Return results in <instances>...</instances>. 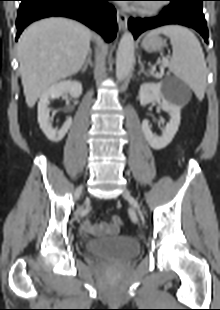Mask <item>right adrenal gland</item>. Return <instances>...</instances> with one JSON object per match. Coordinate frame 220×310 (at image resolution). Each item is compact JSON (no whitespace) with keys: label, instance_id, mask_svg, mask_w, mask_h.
I'll list each match as a JSON object with an SVG mask.
<instances>
[{"label":"right adrenal gland","instance_id":"right-adrenal-gland-1","mask_svg":"<svg viewBox=\"0 0 220 310\" xmlns=\"http://www.w3.org/2000/svg\"><path fill=\"white\" fill-rule=\"evenodd\" d=\"M91 57H92V50L90 49L88 52V57H87L86 61L84 62V65L81 69L82 72H84L87 69L88 65H90L91 67L93 66L92 61H91Z\"/></svg>","mask_w":220,"mask_h":310}]
</instances>
